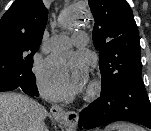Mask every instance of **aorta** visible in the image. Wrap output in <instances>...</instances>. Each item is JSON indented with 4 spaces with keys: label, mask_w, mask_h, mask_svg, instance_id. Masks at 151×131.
<instances>
[{
    "label": "aorta",
    "mask_w": 151,
    "mask_h": 131,
    "mask_svg": "<svg viewBox=\"0 0 151 131\" xmlns=\"http://www.w3.org/2000/svg\"><path fill=\"white\" fill-rule=\"evenodd\" d=\"M73 25H78L80 22L78 21V20H74V21H72L71 22ZM69 131H70V129H69Z\"/></svg>",
    "instance_id": "aorta-1"
}]
</instances>
